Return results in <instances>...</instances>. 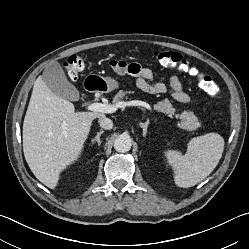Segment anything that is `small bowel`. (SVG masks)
<instances>
[{
    "label": "small bowel",
    "mask_w": 249,
    "mask_h": 249,
    "mask_svg": "<svg viewBox=\"0 0 249 249\" xmlns=\"http://www.w3.org/2000/svg\"><path fill=\"white\" fill-rule=\"evenodd\" d=\"M120 74H129L136 79L137 87L150 94H163L167 91L166 85L155 81L151 69L142 67L138 64H127L125 71H117ZM170 87L172 97L180 103H188L190 96L183 89L182 83L177 75L170 77Z\"/></svg>",
    "instance_id": "obj_1"
}]
</instances>
